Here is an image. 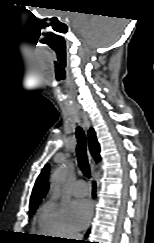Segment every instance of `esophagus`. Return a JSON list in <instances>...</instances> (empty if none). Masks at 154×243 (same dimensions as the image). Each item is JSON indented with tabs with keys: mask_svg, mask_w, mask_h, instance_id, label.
Returning <instances> with one entry per match:
<instances>
[{
	"mask_svg": "<svg viewBox=\"0 0 154 243\" xmlns=\"http://www.w3.org/2000/svg\"><path fill=\"white\" fill-rule=\"evenodd\" d=\"M89 164H90L91 170L95 171L97 166H96L93 156L90 153H89Z\"/></svg>",
	"mask_w": 154,
	"mask_h": 243,
	"instance_id": "esophagus-1",
	"label": "esophagus"
}]
</instances>
